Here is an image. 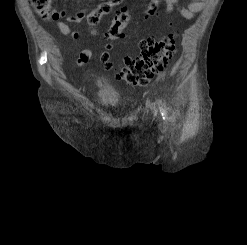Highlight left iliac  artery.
Returning a JSON list of instances; mask_svg holds the SVG:
<instances>
[{
    "label": "left iliac artery",
    "mask_w": 247,
    "mask_h": 245,
    "mask_svg": "<svg viewBox=\"0 0 247 245\" xmlns=\"http://www.w3.org/2000/svg\"><path fill=\"white\" fill-rule=\"evenodd\" d=\"M158 104H159V108L163 116V119H166V109H165L164 104L162 103V101H159Z\"/></svg>",
    "instance_id": "obj_1"
}]
</instances>
